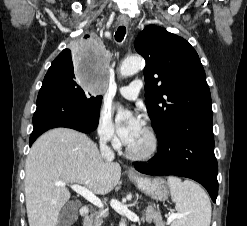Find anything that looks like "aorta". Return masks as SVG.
Masks as SVG:
<instances>
[{
  "instance_id": "762f6f07",
  "label": "aorta",
  "mask_w": 247,
  "mask_h": 226,
  "mask_svg": "<svg viewBox=\"0 0 247 226\" xmlns=\"http://www.w3.org/2000/svg\"><path fill=\"white\" fill-rule=\"evenodd\" d=\"M145 66V61L141 57H132L127 58L123 61L120 66V74L123 77H128L136 74L140 69H143ZM118 117L129 116L130 113L122 108L118 109ZM119 226H126L125 220H122Z\"/></svg>"
}]
</instances>
